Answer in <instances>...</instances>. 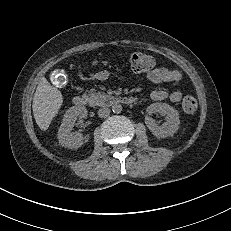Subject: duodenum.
<instances>
[{"label":"duodenum","instance_id":"duodenum-1","mask_svg":"<svg viewBox=\"0 0 231 231\" xmlns=\"http://www.w3.org/2000/svg\"><path fill=\"white\" fill-rule=\"evenodd\" d=\"M114 102L122 103L126 105H132L137 102V99L131 96H120V97H116L114 99ZM73 103L76 107H84L88 104V98L83 95H77L73 98Z\"/></svg>","mask_w":231,"mask_h":231}]
</instances>
